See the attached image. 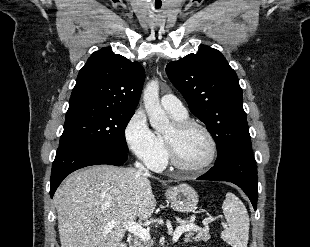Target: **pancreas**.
<instances>
[{
  "mask_svg": "<svg viewBox=\"0 0 310 247\" xmlns=\"http://www.w3.org/2000/svg\"><path fill=\"white\" fill-rule=\"evenodd\" d=\"M184 225V224H182ZM195 233H193L192 231H189L188 233L185 234V238L184 241L185 242H192V240L198 242V241H204L206 242L207 240L210 239V234H209V228L205 227V228H200L197 231V234L195 237L194 236ZM130 247H150V244L140 238H134L133 242L131 243Z\"/></svg>",
  "mask_w": 310,
  "mask_h": 247,
  "instance_id": "cf45deb5",
  "label": "pancreas"
}]
</instances>
